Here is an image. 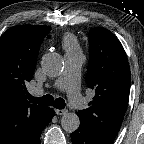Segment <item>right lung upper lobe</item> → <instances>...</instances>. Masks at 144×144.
<instances>
[{
	"label": "right lung upper lobe",
	"mask_w": 144,
	"mask_h": 144,
	"mask_svg": "<svg viewBox=\"0 0 144 144\" xmlns=\"http://www.w3.org/2000/svg\"><path fill=\"white\" fill-rule=\"evenodd\" d=\"M51 28L19 25L0 37V144H25L49 108L30 104L25 82L33 77L40 45Z\"/></svg>",
	"instance_id": "right-lung-upper-lobe-1"
}]
</instances>
